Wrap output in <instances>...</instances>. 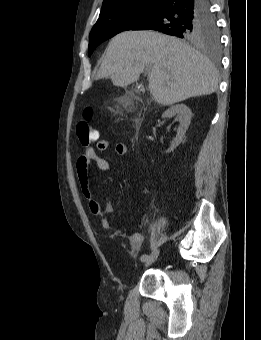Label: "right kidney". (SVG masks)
<instances>
[{"mask_svg":"<svg viewBox=\"0 0 261 340\" xmlns=\"http://www.w3.org/2000/svg\"><path fill=\"white\" fill-rule=\"evenodd\" d=\"M173 115H177L180 125L177 129L176 138L172 141L167 152L174 151V149L182 142L192 117L191 110L185 104H178L170 107L163 113L162 118H169Z\"/></svg>","mask_w":261,"mask_h":340,"instance_id":"obj_1","label":"right kidney"}]
</instances>
